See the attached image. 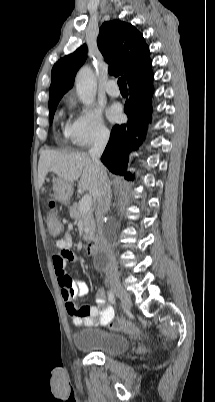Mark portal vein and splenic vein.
<instances>
[{
  "mask_svg": "<svg viewBox=\"0 0 215 402\" xmlns=\"http://www.w3.org/2000/svg\"><path fill=\"white\" fill-rule=\"evenodd\" d=\"M80 211L81 212H87L88 210L91 209L92 206V198L89 195H84L82 199L80 200Z\"/></svg>",
  "mask_w": 215,
  "mask_h": 402,
  "instance_id": "18ae733b",
  "label": "portal vein and splenic vein"
}]
</instances>
